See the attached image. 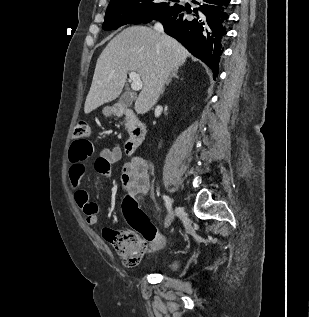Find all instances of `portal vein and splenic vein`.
Wrapping results in <instances>:
<instances>
[{
  "instance_id": "obj_1",
  "label": "portal vein and splenic vein",
  "mask_w": 309,
  "mask_h": 317,
  "mask_svg": "<svg viewBox=\"0 0 309 317\" xmlns=\"http://www.w3.org/2000/svg\"><path fill=\"white\" fill-rule=\"evenodd\" d=\"M130 80L132 81L131 83V88L134 91H139L143 87V83L141 81L140 76L136 72H130L129 73Z\"/></svg>"
}]
</instances>
